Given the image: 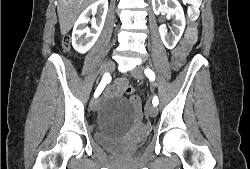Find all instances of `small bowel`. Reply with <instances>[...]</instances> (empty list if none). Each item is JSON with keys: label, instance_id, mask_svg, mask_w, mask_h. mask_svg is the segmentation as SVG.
<instances>
[{"label": "small bowel", "instance_id": "obj_1", "mask_svg": "<svg viewBox=\"0 0 250 169\" xmlns=\"http://www.w3.org/2000/svg\"><path fill=\"white\" fill-rule=\"evenodd\" d=\"M192 43H189L187 41L183 42L182 45L178 48H176L172 53V59H176L178 63L181 65L185 59V57L188 55L189 50L191 48ZM127 85V81L124 78H117L115 81V84L108 90L107 96L113 97L116 96L120 90L124 86Z\"/></svg>", "mask_w": 250, "mask_h": 169}]
</instances>
